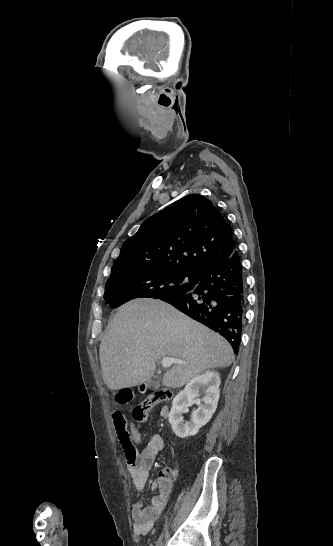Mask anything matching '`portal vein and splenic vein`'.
Instances as JSON below:
<instances>
[{
    "mask_svg": "<svg viewBox=\"0 0 333 546\" xmlns=\"http://www.w3.org/2000/svg\"><path fill=\"white\" fill-rule=\"evenodd\" d=\"M173 363L182 364V363H184V361H183V360H180V359L172 358V357H164V358L162 359V366H163V368H168V367H170Z\"/></svg>",
    "mask_w": 333,
    "mask_h": 546,
    "instance_id": "18ae733b",
    "label": "portal vein and splenic vein"
}]
</instances>
